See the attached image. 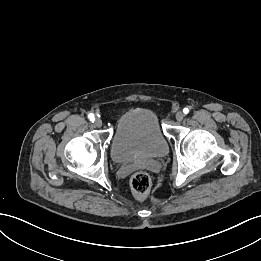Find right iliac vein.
<instances>
[{
	"label": "right iliac vein",
	"mask_w": 261,
	"mask_h": 261,
	"mask_svg": "<svg viewBox=\"0 0 261 261\" xmlns=\"http://www.w3.org/2000/svg\"><path fill=\"white\" fill-rule=\"evenodd\" d=\"M102 124H103V123H102V120H101V119L98 118V119L95 120L94 125H95L96 127H101Z\"/></svg>",
	"instance_id": "obj_1"
}]
</instances>
